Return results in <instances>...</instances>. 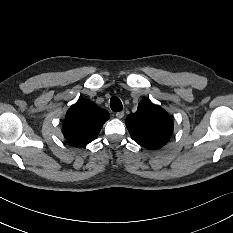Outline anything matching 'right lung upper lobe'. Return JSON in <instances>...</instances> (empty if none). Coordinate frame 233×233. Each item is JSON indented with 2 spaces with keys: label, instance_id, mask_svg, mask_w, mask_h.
I'll return each mask as SVG.
<instances>
[{
  "label": "right lung upper lobe",
  "instance_id": "1",
  "mask_svg": "<svg viewBox=\"0 0 233 233\" xmlns=\"http://www.w3.org/2000/svg\"><path fill=\"white\" fill-rule=\"evenodd\" d=\"M109 113L87 100L74 104L63 121L62 132L66 140L74 146H84L97 138Z\"/></svg>",
  "mask_w": 233,
  "mask_h": 233
}]
</instances>
